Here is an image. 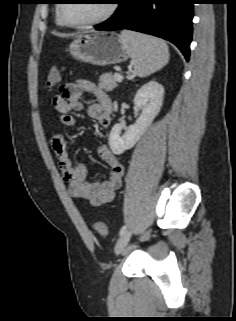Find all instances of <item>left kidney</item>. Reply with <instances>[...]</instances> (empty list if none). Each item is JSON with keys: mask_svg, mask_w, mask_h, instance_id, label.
Segmentation results:
<instances>
[{"mask_svg": "<svg viewBox=\"0 0 236 321\" xmlns=\"http://www.w3.org/2000/svg\"><path fill=\"white\" fill-rule=\"evenodd\" d=\"M164 88L156 81L142 86L134 97V104L142 112L136 122L120 136L122 124H115L110 132L109 146L114 154H122L132 148L151 125L163 104Z\"/></svg>", "mask_w": 236, "mask_h": 321, "instance_id": "5707ae66", "label": "left kidney"}]
</instances>
